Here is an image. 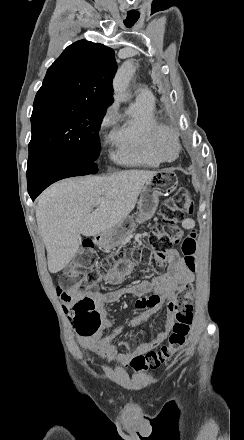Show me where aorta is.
<instances>
[{
  "label": "aorta",
  "mask_w": 244,
  "mask_h": 440,
  "mask_svg": "<svg viewBox=\"0 0 244 440\" xmlns=\"http://www.w3.org/2000/svg\"><path fill=\"white\" fill-rule=\"evenodd\" d=\"M134 73L131 62H125L117 71L113 80L114 98L116 101L124 102L127 100V88Z\"/></svg>",
  "instance_id": "1"
}]
</instances>
